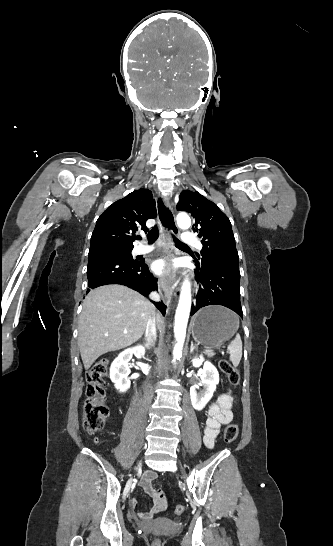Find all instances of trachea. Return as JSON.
I'll return each instance as SVG.
<instances>
[{"label":"trachea","mask_w":333,"mask_h":546,"mask_svg":"<svg viewBox=\"0 0 333 546\" xmlns=\"http://www.w3.org/2000/svg\"><path fill=\"white\" fill-rule=\"evenodd\" d=\"M158 236H159V229H158L157 226H154V227L149 231V233H148V235H147L148 240H149V243H153L154 241H156L157 238H158ZM172 237H173V240H174L175 245H176L177 247H186V246H187V245L184 244L183 242L179 241L175 236L172 235ZM137 239H141V236H138Z\"/></svg>","instance_id":"trachea-1"}]
</instances>
